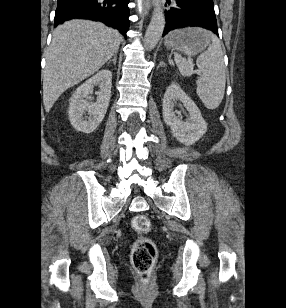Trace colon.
Returning a JSON list of instances; mask_svg holds the SVG:
<instances>
[{
	"label": "colon",
	"instance_id": "obj_1",
	"mask_svg": "<svg viewBox=\"0 0 286 308\" xmlns=\"http://www.w3.org/2000/svg\"><path fill=\"white\" fill-rule=\"evenodd\" d=\"M132 227L141 235L149 232L151 222L146 215H137L132 220ZM158 250L153 241L146 237H140L135 241L131 250L132 265L139 274L142 284H148L152 270L156 264Z\"/></svg>",
	"mask_w": 286,
	"mask_h": 308
}]
</instances>
